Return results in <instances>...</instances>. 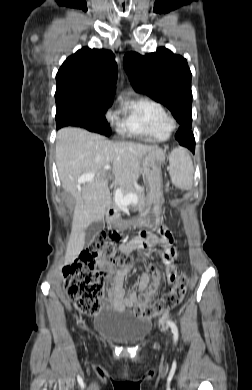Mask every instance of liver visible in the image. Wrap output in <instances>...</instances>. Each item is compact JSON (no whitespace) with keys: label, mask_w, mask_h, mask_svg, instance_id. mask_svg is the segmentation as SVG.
Returning a JSON list of instances; mask_svg holds the SVG:
<instances>
[{"label":"liver","mask_w":252,"mask_h":390,"mask_svg":"<svg viewBox=\"0 0 252 390\" xmlns=\"http://www.w3.org/2000/svg\"><path fill=\"white\" fill-rule=\"evenodd\" d=\"M154 150L159 149L132 142H112L81 128L65 127L58 131L59 177L62 188L76 202L65 264L72 263L83 250L86 228L102 220L110 208L107 178H115L123 189L130 191L142 173L140 160ZM105 166L111 168L106 170ZM86 174H95V177L92 181L79 183L78 178Z\"/></svg>","instance_id":"liver-1"}]
</instances>
